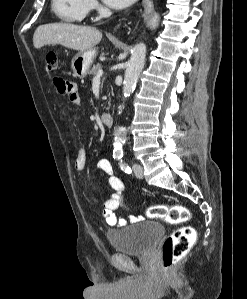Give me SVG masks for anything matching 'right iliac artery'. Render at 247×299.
<instances>
[{
    "label": "right iliac artery",
    "instance_id": "1",
    "mask_svg": "<svg viewBox=\"0 0 247 299\" xmlns=\"http://www.w3.org/2000/svg\"><path fill=\"white\" fill-rule=\"evenodd\" d=\"M121 156H122L121 154L113 155L114 158H118V159L121 158Z\"/></svg>",
    "mask_w": 247,
    "mask_h": 299
}]
</instances>
